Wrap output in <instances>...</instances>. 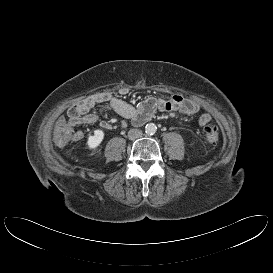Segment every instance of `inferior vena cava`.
Segmentation results:
<instances>
[{
    "label": "inferior vena cava",
    "mask_w": 273,
    "mask_h": 273,
    "mask_svg": "<svg viewBox=\"0 0 273 273\" xmlns=\"http://www.w3.org/2000/svg\"><path fill=\"white\" fill-rule=\"evenodd\" d=\"M142 135L143 133L140 129H130V131L128 132V137L130 140L141 138Z\"/></svg>",
    "instance_id": "602c4592"
}]
</instances>
